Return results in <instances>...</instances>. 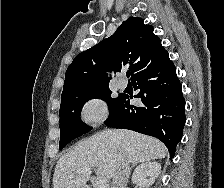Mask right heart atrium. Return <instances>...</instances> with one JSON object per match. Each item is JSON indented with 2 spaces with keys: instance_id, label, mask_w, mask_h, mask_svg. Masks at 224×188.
I'll return each mask as SVG.
<instances>
[{
  "instance_id": "right-heart-atrium-1",
  "label": "right heart atrium",
  "mask_w": 224,
  "mask_h": 188,
  "mask_svg": "<svg viewBox=\"0 0 224 188\" xmlns=\"http://www.w3.org/2000/svg\"><path fill=\"white\" fill-rule=\"evenodd\" d=\"M108 105L100 97L86 100L81 107L82 120L89 126H98L108 117Z\"/></svg>"
}]
</instances>
